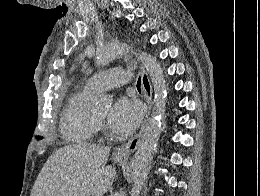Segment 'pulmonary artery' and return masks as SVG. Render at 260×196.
I'll use <instances>...</instances> for the list:
<instances>
[{"label": "pulmonary artery", "mask_w": 260, "mask_h": 196, "mask_svg": "<svg viewBox=\"0 0 260 196\" xmlns=\"http://www.w3.org/2000/svg\"><path fill=\"white\" fill-rule=\"evenodd\" d=\"M123 74L124 69H104V72L99 73L97 79H91L90 85L97 93L113 90L114 85L110 84H126Z\"/></svg>", "instance_id": "e3ab8cb5"}]
</instances>
